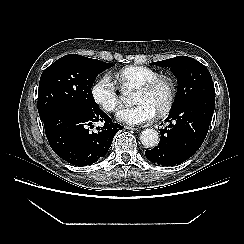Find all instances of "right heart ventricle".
<instances>
[{"mask_svg": "<svg viewBox=\"0 0 244 244\" xmlns=\"http://www.w3.org/2000/svg\"><path fill=\"white\" fill-rule=\"evenodd\" d=\"M159 75L153 68L140 65H131L120 69L114 77L121 89L138 88Z\"/></svg>", "mask_w": 244, "mask_h": 244, "instance_id": "right-heart-ventricle-1", "label": "right heart ventricle"}]
</instances>
